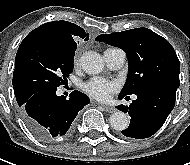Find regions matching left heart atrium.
I'll use <instances>...</instances> for the list:
<instances>
[{"label":"left heart atrium","mask_w":190,"mask_h":165,"mask_svg":"<svg viewBox=\"0 0 190 165\" xmlns=\"http://www.w3.org/2000/svg\"><path fill=\"white\" fill-rule=\"evenodd\" d=\"M84 91L99 101H107L118 91L119 84L115 80L94 77L83 85Z\"/></svg>","instance_id":"1"}]
</instances>
